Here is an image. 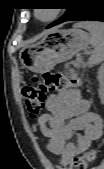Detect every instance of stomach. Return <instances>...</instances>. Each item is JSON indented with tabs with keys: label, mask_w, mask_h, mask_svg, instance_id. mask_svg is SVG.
Listing matches in <instances>:
<instances>
[{
	"label": "stomach",
	"mask_w": 104,
	"mask_h": 169,
	"mask_svg": "<svg viewBox=\"0 0 104 169\" xmlns=\"http://www.w3.org/2000/svg\"><path fill=\"white\" fill-rule=\"evenodd\" d=\"M90 39L88 33L78 28L52 30L38 42L22 49L20 58L24 67L32 72L50 71L56 64L85 50Z\"/></svg>",
	"instance_id": "obj_1"
}]
</instances>
